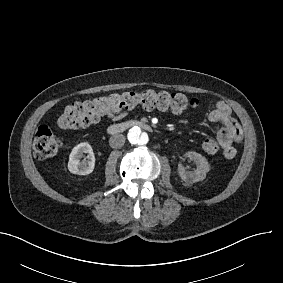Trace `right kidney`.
Returning <instances> with one entry per match:
<instances>
[{"instance_id": "ca27d5eb", "label": "right kidney", "mask_w": 283, "mask_h": 283, "mask_svg": "<svg viewBox=\"0 0 283 283\" xmlns=\"http://www.w3.org/2000/svg\"><path fill=\"white\" fill-rule=\"evenodd\" d=\"M84 154H87L85 156ZM83 158V160H81ZM95 158L92 147L84 142L76 145L69 155V170L78 175H87L94 169Z\"/></svg>"}]
</instances>
